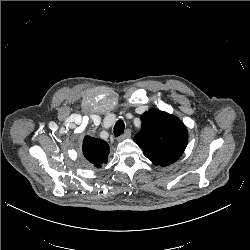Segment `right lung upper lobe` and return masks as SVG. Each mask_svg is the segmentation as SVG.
Masks as SVG:
<instances>
[{
  "label": "right lung upper lobe",
  "instance_id": "obj_1",
  "mask_svg": "<svg viewBox=\"0 0 250 250\" xmlns=\"http://www.w3.org/2000/svg\"><path fill=\"white\" fill-rule=\"evenodd\" d=\"M82 152L91 166L100 168L108 161L109 145L102 139L85 136Z\"/></svg>",
  "mask_w": 250,
  "mask_h": 250
}]
</instances>
